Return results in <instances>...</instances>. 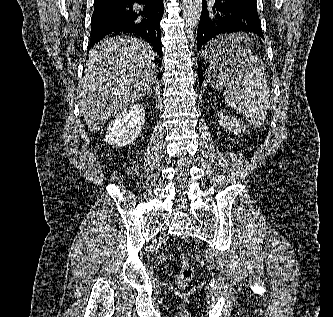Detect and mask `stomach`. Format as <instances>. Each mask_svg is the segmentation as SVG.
<instances>
[{
  "instance_id": "1",
  "label": "stomach",
  "mask_w": 333,
  "mask_h": 317,
  "mask_svg": "<svg viewBox=\"0 0 333 317\" xmlns=\"http://www.w3.org/2000/svg\"><path fill=\"white\" fill-rule=\"evenodd\" d=\"M248 33L241 29H230L229 33H214V41H206L202 62H212L205 75V88H232L233 82H264L238 81V74L245 71L235 69H254L258 55L254 52V41H247Z\"/></svg>"
}]
</instances>
